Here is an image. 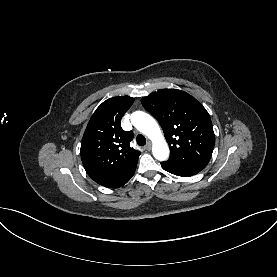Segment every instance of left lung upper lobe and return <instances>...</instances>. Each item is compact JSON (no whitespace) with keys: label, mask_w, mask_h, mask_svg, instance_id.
Returning a JSON list of instances; mask_svg holds the SVG:
<instances>
[{"label":"left lung upper lobe","mask_w":277,"mask_h":277,"mask_svg":"<svg viewBox=\"0 0 277 277\" xmlns=\"http://www.w3.org/2000/svg\"><path fill=\"white\" fill-rule=\"evenodd\" d=\"M160 123L170 147V163L207 165L215 144L210 116L201 103L177 89H160L141 99Z\"/></svg>","instance_id":"obj_1"}]
</instances>
